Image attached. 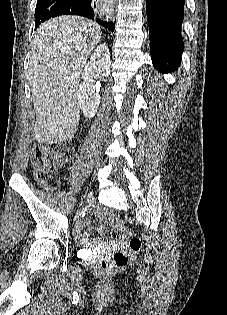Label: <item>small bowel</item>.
<instances>
[{
    "label": "small bowel",
    "mask_w": 227,
    "mask_h": 315,
    "mask_svg": "<svg viewBox=\"0 0 227 315\" xmlns=\"http://www.w3.org/2000/svg\"><path fill=\"white\" fill-rule=\"evenodd\" d=\"M96 228H97L99 233H104L105 232V226L102 223H99ZM85 236L88 238L89 237V233H86Z\"/></svg>",
    "instance_id": "obj_1"
}]
</instances>
